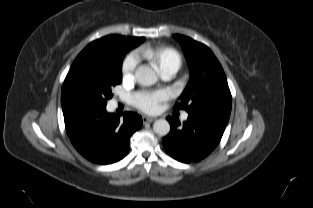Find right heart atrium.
<instances>
[{
	"label": "right heart atrium",
	"mask_w": 313,
	"mask_h": 208,
	"mask_svg": "<svg viewBox=\"0 0 313 208\" xmlns=\"http://www.w3.org/2000/svg\"><path fill=\"white\" fill-rule=\"evenodd\" d=\"M137 64L138 56L136 54H130L124 59L122 64V76L124 79H130L133 76Z\"/></svg>",
	"instance_id": "right-heart-atrium-1"
}]
</instances>
